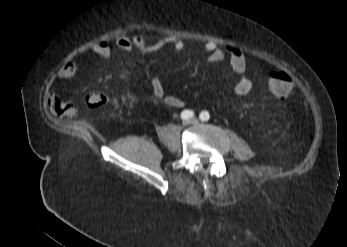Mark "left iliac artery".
<instances>
[{"label":"left iliac artery","mask_w":347,"mask_h":247,"mask_svg":"<svg viewBox=\"0 0 347 247\" xmlns=\"http://www.w3.org/2000/svg\"><path fill=\"white\" fill-rule=\"evenodd\" d=\"M199 117L202 121H208L210 119V115L207 111H202Z\"/></svg>","instance_id":"obj_1"}]
</instances>
